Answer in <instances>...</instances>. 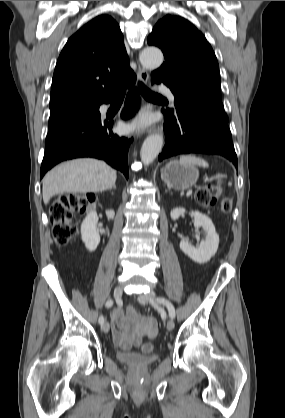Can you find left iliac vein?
<instances>
[{"label": "left iliac vein", "mask_w": 285, "mask_h": 418, "mask_svg": "<svg viewBox=\"0 0 285 418\" xmlns=\"http://www.w3.org/2000/svg\"><path fill=\"white\" fill-rule=\"evenodd\" d=\"M154 298H155V293L154 292H148L147 294L140 295L138 297V300L141 303H143V304H146V303H152V304H154V301H153ZM174 326H175L174 325V321L172 319H169L167 321V324H166L167 330H169V331L173 330L174 329Z\"/></svg>", "instance_id": "4c4485c4"}]
</instances>
